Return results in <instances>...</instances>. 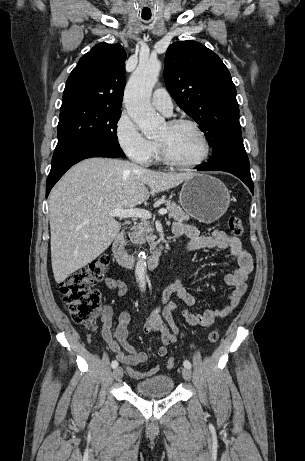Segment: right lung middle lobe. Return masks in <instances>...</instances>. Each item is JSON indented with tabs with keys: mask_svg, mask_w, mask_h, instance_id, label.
Instances as JSON below:
<instances>
[{
	"mask_svg": "<svg viewBox=\"0 0 305 461\" xmlns=\"http://www.w3.org/2000/svg\"><path fill=\"white\" fill-rule=\"evenodd\" d=\"M121 110L98 105L78 104L61 108L56 148L74 144L103 145L124 157L117 139Z\"/></svg>",
	"mask_w": 305,
	"mask_h": 461,
	"instance_id": "1",
	"label": "right lung middle lobe"
}]
</instances>
